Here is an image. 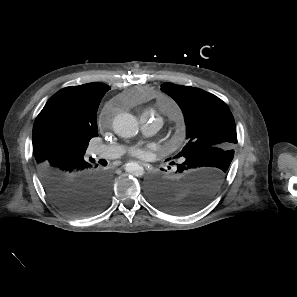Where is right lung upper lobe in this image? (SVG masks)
Segmentation results:
<instances>
[{
    "label": "right lung upper lobe",
    "mask_w": 297,
    "mask_h": 297,
    "mask_svg": "<svg viewBox=\"0 0 297 297\" xmlns=\"http://www.w3.org/2000/svg\"><path fill=\"white\" fill-rule=\"evenodd\" d=\"M109 89L101 83L70 86L48 100L33 126L37 167L55 157L84 156L88 142L98 135L97 110Z\"/></svg>",
    "instance_id": "cb5924a9"
}]
</instances>
